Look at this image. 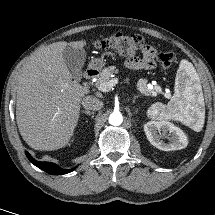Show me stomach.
Listing matches in <instances>:
<instances>
[{
  "mask_svg": "<svg viewBox=\"0 0 215 215\" xmlns=\"http://www.w3.org/2000/svg\"><path fill=\"white\" fill-rule=\"evenodd\" d=\"M105 65V62L103 59H100V58H94L91 60L90 62V66L92 68H95V69H100L102 68L103 66Z\"/></svg>",
  "mask_w": 215,
  "mask_h": 215,
  "instance_id": "0dacf381",
  "label": "stomach"
}]
</instances>
